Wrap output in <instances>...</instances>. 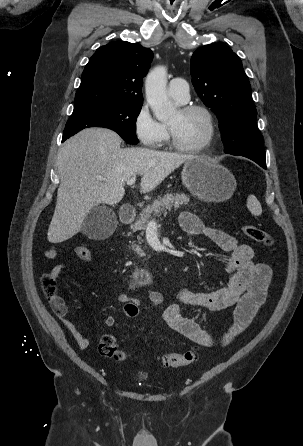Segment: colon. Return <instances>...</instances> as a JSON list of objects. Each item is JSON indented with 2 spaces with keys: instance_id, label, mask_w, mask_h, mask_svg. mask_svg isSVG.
Listing matches in <instances>:
<instances>
[{
  "instance_id": "colon-1",
  "label": "colon",
  "mask_w": 303,
  "mask_h": 446,
  "mask_svg": "<svg viewBox=\"0 0 303 446\" xmlns=\"http://www.w3.org/2000/svg\"><path fill=\"white\" fill-rule=\"evenodd\" d=\"M242 232L252 241L266 246L273 244L272 237L263 229L254 225L245 224L242 226ZM75 254L78 258L84 261L91 260L92 254L86 246H77ZM42 286L44 292L51 302H56L60 297L57 295V280L51 273H45L42 277ZM99 353L106 358L116 361L125 359V353L119 348L117 340L114 335L104 334L98 345ZM199 347L195 346L182 353H168L161 356V363L167 368H176L189 365L193 363L198 356Z\"/></svg>"
}]
</instances>
